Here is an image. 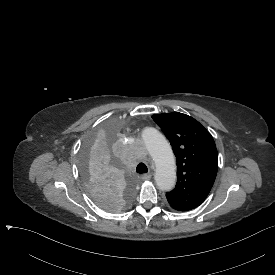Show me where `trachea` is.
I'll return each mask as SVG.
<instances>
[{
  "mask_svg": "<svg viewBox=\"0 0 275 275\" xmlns=\"http://www.w3.org/2000/svg\"><path fill=\"white\" fill-rule=\"evenodd\" d=\"M136 172L140 174L147 173L148 172L147 166L144 163H139L136 167Z\"/></svg>",
  "mask_w": 275,
  "mask_h": 275,
  "instance_id": "3493384b",
  "label": "trachea"
}]
</instances>
